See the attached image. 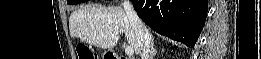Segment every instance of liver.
<instances>
[{
	"label": "liver",
	"mask_w": 261,
	"mask_h": 59,
	"mask_svg": "<svg viewBox=\"0 0 261 59\" xmlns=\"http://www.w3.org/2000/svg\"><path fill=\"white\" fill-rule=\"evenodd\" d=\"M71 37L102 49H112L124 33L129 46L140 53L137 36L125 11L118 6L88 5L75 10L69 19Z\"/></svg>",
	"instance_id": "obj_1"
}]
</instances>
